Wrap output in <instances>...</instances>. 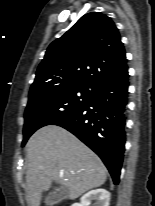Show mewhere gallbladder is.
Here are the masks:
<instances>
[{"mask_svg":"<svg viewBox=\"0 0 155 206\" xmlns=\"http://www.w3.org/2000/svg\"><path fill=\"white\" fill-rule=\"evenodd\" d=\"M67 196V189L62 188H53V190L47 194L44 199V202L47 206H53L62 200H64Z\"/></svg>","mask_w":155,"mask_h":206,"instance_id":"1","label":"gallbladder"}]
</instances>
